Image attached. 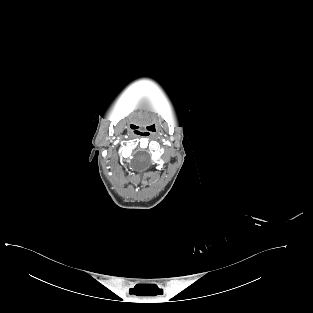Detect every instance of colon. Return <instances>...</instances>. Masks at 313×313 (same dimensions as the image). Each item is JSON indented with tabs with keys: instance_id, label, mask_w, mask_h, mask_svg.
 I'll return each instance as SVG.
<instances>
[{
	"instance_id": "obj_1",
	"label": "colon",
	"mask_w": 313,
	"mask_h": 313,
	"mask_svg": "<svg viewBox=\"0 0 313 313\" xmlns=\"http://www.w3.org/2000/svg\"><path fill=\"white\" fill-rule=\"evenodd\" d=\"M229 240H230V241H233L234 238H233L232 236H229Z\"/></svg>"
}]
</instances>
